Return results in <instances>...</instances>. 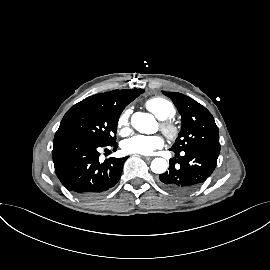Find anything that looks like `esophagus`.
<instances>
[{"label": "esophagus", "mask_w": 270, "mask_h": 270, "mask_svg": "<svg viewBox=\"0 0 270 270\" xmlns=\"http://www.w3.org/2000/svg\"><path fill=\"white\" fill-rule=\"evenodd\" d=\"M145 160H152L153 159V157H150V156H145V157H143Z\"/></svg>", "instance_id": "1"}]
</instances>
